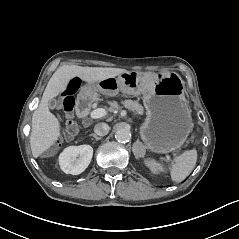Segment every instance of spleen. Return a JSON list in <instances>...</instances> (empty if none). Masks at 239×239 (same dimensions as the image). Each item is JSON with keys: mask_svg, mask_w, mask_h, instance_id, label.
<instances>
[{"mask_svg": "<svg viewBox=\"0 0 239 239\" xmlns=\"http://www.w3.org/2000/svg\"><path fill=\"white\" fill-rule=\"evenodd\" d=\"M197 160V152L195 150L185 151L184 153L174 157V163L169 166L171 179L180 182L186 178L193 170ZM162 173H167L164 165H159Z\"/></svg>", "mask_w": 239, "mask_h": 239, "instance_id": "obj_1", "label": "spleen"}]
</instances>
